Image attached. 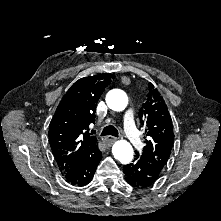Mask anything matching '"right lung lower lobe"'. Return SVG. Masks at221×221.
<instances>
[{
	"mask_svg": "<svg viewBox=\"0 0 221 221\" xmlns=\"http://www.w3.org/2000/svg\"><path fill=\"white\" fill-rule=\"evenodd\" d=\"M101 157L102 154L96 145L62 174L66 181L74 186L87 185L92 180Z\"/></svg>",
	"mask_w": 221,
	"mask_h": 221,
	"instance_id": "right-lung-lower-lobe-1",
	"label": "right lung lower lobe"
}]
</instances>
